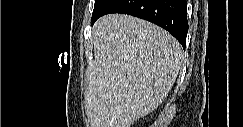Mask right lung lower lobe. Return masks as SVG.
Returning a JSON list of instances; mask_svg holds the SVG:
<instances>
[{
  "mask_svg": "<svg viewBox=\"0 0 243 127\" xmlns=\"http://www.w3.org/2000/svg\"><path fill=\"white\" fill-rule=\"evenodd\" d=\"M110 13L129 14L150 21L169 31L185 48L188 33L186 0H107L92 17V24Z\"/></svg>",
  "mask_w": 243,
  "mask_h": 127,
  "instance_id": "obj_1",
  "label": "right lung lower lobe"
}]
</instances>
